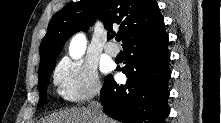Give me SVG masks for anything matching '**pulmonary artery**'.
I'll list each match as a JSON object with an SVG mask.
<instances>
[{
  "instance_id": "1",
  "label": "pulmonary artery",
  "mask_w": 221,
  "mask_h": 123,
  "mask_svg": "<svg viewBox=\"0 0 221 123\" xmlns=\"http://www.w3.org/2000/svg\"><path fill=\"white\" fill-rule=\"evenodd\" d=\"M105 52L112 57H116L119 53V48L110 42L105 46Z\"/></svg>"
}]
</instances>
